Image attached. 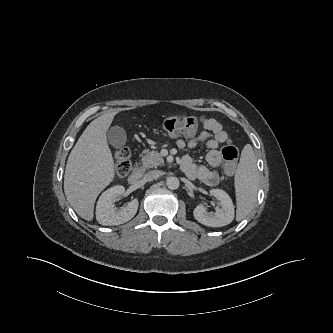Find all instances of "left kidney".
<instances>
[{
	"label": "left kidney",
	"mask_w": 333,
	"mask_h": 333,
	"mask_svg": "<svg viewBox=\"0 0 333 333\" xmlns=\"http://www.w3.org/2000/svg\"><path fill=\"white\" fill-rule=\"evenodd\" d=\"M210 194L221 203L214 215L209 214L206 208L198 205L194 211V218L201 224L209 227H222L230 224L234 219V205L230 196L221 189H212Z\"/></svg>",
	"instance_id": "left-kidney-1"
}]
</instances>
